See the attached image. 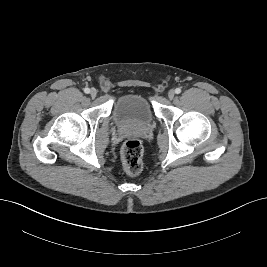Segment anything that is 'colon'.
Listing matches in <instances>:
<instances>
[{
    "instance_id": "5ec220e1",
    "label": "colon",
    "mask_w": 267,
    "mask_h": 267,
    "mask_svg": "<svg viewBox=\"0 0 267 267\" xmlns=\"http://www.w3.org/2000/svg\"><path fill=\"white\" fill-rule=\"evenodd\" d=\"M143 148L136 139L126 141L122 148L123 167L127 174L131 176L139 175L143 168L142 163Z\"/></svg>"
}]
</instances>
